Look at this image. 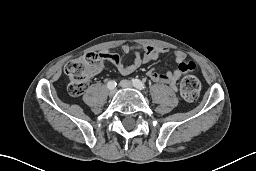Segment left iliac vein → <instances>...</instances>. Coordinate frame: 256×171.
<instances>
[{
  "instance_id": "1",
  "label": "left iliac vein",
  "mask_w": 256,
  "mask_h": 171,
  "mask_svg": "<svg viewBox=\"0 0 256 171\" xmlns=\"http://www.w3.org/2000/svg\"><path fill=\"white\" fill-rule=\"evenodd\" d=\"M119 85L122 88H133V84L129 80H122V81H120Z\"/></svg>"
}]
</instances>
